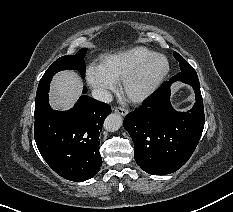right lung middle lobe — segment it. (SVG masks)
<instances>
[{"label": "right lung middle lobe", "mask_w": 233, "mask_h": 212, "mask_svg": "<svg viewBox=\"0 0 233 212\" xmlns=\"http://www.w3.org/2000/svg\"><path fill=\"white\" fill-rule=\"evenodd\" d=\"M87 52L86 48L80 49L75 55H67L57 59L45 72L41 78L37 93L36 101L44 96L49 91V83L55 73L66 69H78L82 76L85 72V63L83 61L85 54Z\"/></svg>", "instance_id": "1"}]
</instances>
